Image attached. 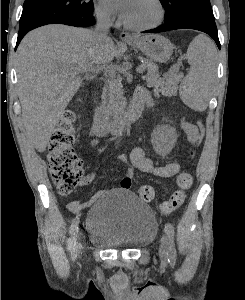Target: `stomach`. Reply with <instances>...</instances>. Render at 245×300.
<instances>
[{
	"label": "stomach",
	"mask_w": 245,
	"mask_h": 300,
	"mask_svg": "<svg viewBox=\"0 0 245 300\" xmlns=\"http://www.w3.org/2000/svg\"><path fill=\"white\" fill-rule=\"evenodd\" d=\"M129 44L158 63L167 62L174 49L172 43L161 35H146Z\"/></svg>",
	"instance_id": "stomach-1"
}]
</instances>
